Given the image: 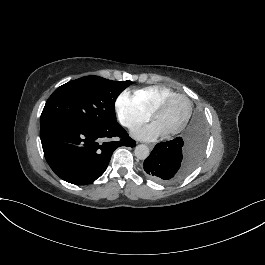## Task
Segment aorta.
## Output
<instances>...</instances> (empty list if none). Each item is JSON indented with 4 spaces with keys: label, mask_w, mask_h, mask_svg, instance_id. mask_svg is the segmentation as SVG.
I'll list each match as a JSON object with an SVG mask.
<instances>
[{
    "label": "aorta",
    "mask_w": 265,
    "mask_h": 265,
    "mask_svg": "<svg viewBox=\"0 0 265 265\" xmlns=\"http://www.w3.org/2000/svg\"><path fill=\"white\" fill-rule=\"evenodd\" d=\"M134 153L138 159L144 160L149 156L150 151H149L148 146L144 144H140L135 147Z\"/></svg>",
    "instance_id": "obj_1"
}]
</instances>
